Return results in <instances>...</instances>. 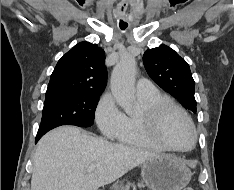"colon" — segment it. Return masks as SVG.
I'll use <instances>...</instances> for the list:
<instances>
[{
	"instance_id": "1",
	"label": "colon",
	"mask_w": 234,
	"mask_h": 190,
	"mask_svg": "<svg viewBox=\"0 0 234 190\" xmlns=\"http://www.w3.org/2000/svg\"><path fill=\"white\" fill-rule=\"evenodd\" d=\"M184 190H194L193 188H186V189H184Z\"/></svg>"
}]
</instances>
